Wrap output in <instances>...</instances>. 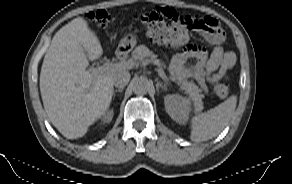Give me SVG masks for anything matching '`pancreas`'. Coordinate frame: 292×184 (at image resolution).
<instances>
[{"mask_svg": "<svg viewBox=\"0 0 292 184\" xmlns=\"http://www.w3.org/2000/svg\"><path fill=\"white\" fill-rule=\"evenodd\" d=\"M132 56L136 60L149 58L151 61H157L159 64H161V62L157 60V56L144 45L137 46L133 51ZM171 79L175 81L180 86V89L184 91L193 101L194 109L196 111H201L203 109L202 98H204L202 90L193 81H188L181 75L172 74Z\"/></svg>", "mask_w": 292, "mask_h": 184, "instance_id": "obj_1", "label": "pancreas"}]
</instances>
